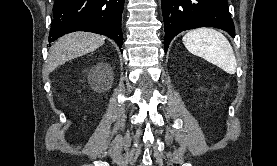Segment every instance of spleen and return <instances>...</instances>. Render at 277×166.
<instances>
[{"mask_svg":"<svg viewBox=\"0 0 277 166\" xmlns=\"http://www.w3.org/2000/svg\"><path fill=\"white\" fill-rule=\"evenodd\" d=\"M187 50L216 65L229 74L237 67L231 44L219 31L212 28H199L189 31L182 39Z\"/></svg>","mask_w":277,"mask_h":166,"instance_id":"3e777b00","label":"spleen"}]
</instances>
